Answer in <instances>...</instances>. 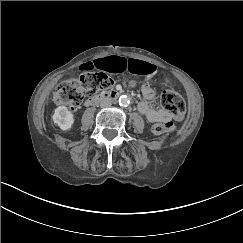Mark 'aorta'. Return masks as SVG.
Returning a JSON list of instances; mask_svg holds the SVG:
<instances>
[{
	"mask_svg": "<svg viewBox=\"0 0 243 243\" xmlns=\"http://www.w3.org/2000/svg\"><path fill=\"white\" fill-rule=\"evenodd\" d=\"M129 103V99L127 97V95H121L119 97V104L120 105H127Z\"/></svg>",
	"mask_w": 243,
	"mask_h": 243,
	"instance_id": "762f6f07",
	"label": "aorta"
}]
</instances>
